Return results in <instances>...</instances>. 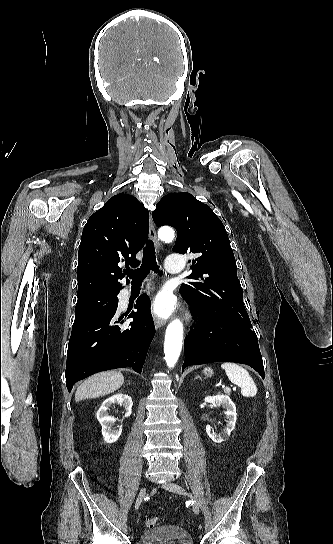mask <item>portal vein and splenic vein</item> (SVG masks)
<instances>
[{
	"label": "portal vein and splenic vein",
	"mask_w": 333,
	"mask_h": 544,
	"mask_svg": "<svg viewBox=\"0 0 333 544\" xmlns=\"http://www.w3.org/2000/svg\"><path fill=\"white\" fill-rule=\"evenodd\" d=\"M225 390H226V391H230V388H229V387H226ZM233 390L236 391V390H237V387H233Z\"/></svg>",
	"instance_id": "18ae733b"
}]
</instances>
